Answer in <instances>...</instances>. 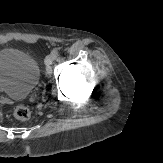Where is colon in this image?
Returning a JSON list of instances; mask_svg holds the SVG:
<instances>
[{
  "mask_svg": "<svg viewBox=\"0 0 163 163\" xmlns=\"http://www.w3.org/2000/svg\"><path fill=\"white\" fill-rule=\"evenodd\" d=\"M31 115V111L26 106H18L14 110L15 118L19 120H27Z\"/></svg>",
  "mask_w": 163,
  "mask_h": 163,
  "instance_id": "colon-1",
  "label": "colon"
}]
</instances>
